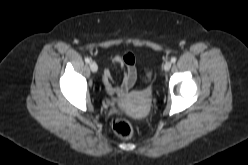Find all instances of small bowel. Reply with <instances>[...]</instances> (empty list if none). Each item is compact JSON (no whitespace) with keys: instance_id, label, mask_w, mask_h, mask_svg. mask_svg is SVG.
Segmentation results:
<instances>
[{"instance_id":"1","label":"small bowel","mask_w":248,"mask_h":165,"mask_svg":"<svg viewBox=\"0 0 248 165\" xmlns=\"http://www.w3.org/2000/svg\"><path fill=\"white\" fill-rule=\"evenodd\" d=\"M114 63L124 68L125 70L122 81L119 84H115L113 82L111 72L108 69L104 70L102 79L105 89L109 94L122 97L136 83L137 80L136 59L132 53L127 52L116 55L114 57Z\"/></svg>"}]
</instances>
